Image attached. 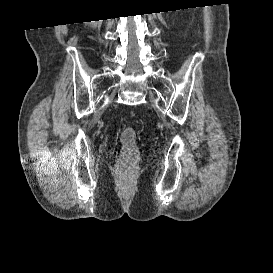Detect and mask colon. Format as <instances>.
Returning a JSON list of instances; mask_svg holds the SVG:
<instances>
[{
	"instance_id": "5ec220e1",
	"label": "colon",
	"mask_w": 273,
	"mask_h": 273,
	"mask_svg": "<svg viewBox=\"0 0 273 273\" xmlns=\"http://www.w3.org/2000/svg\"><path fill=\"white\" fill-rule=\"evenodd\" d=\"M123 149L119 157L118 170L127 173L134 168L138 158L136 134L132 127H125L121 133Z\"/></svg>"
}]
</instances>
